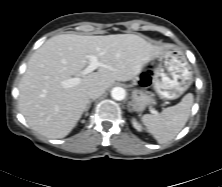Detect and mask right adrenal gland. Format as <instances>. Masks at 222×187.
I'll use <instances>...</instances> for the list:
<instances>
[{"instance_id":"obj_1","label":"right adrenal gland","mask_w":222,"mask_h":187,"mask_svg":"<svg viewBox=\"0 0 222 187\" xmlns=\"http://www.w3.org/2000/svg\"><path fill=\"white\" fill-rule=\"evenodd\" d=\"M91 102H92V101H90V102H89V104H88V106H87V108H86V110H85V111H88V110H89L90 105H91ZM87 115H88V113H86V114H85V116H87Z\"/></svg>"}]
</instances>
